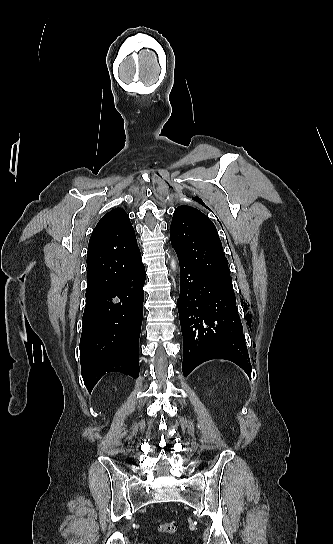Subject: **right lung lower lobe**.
<instances>
[{
  "mask_svg": "<svg viewBox=\"0 0 333 544\" xmlns=\"http://www.w3.org/2000/svg\"><path fill=\"white\" fill-rule=\"evenodd\" d=\"M145 268L141 263L111 288L86 297L80 339L81 374L89 392L108 372L139 375Z\"/></svg>",
  "mask_w": 333,
  "mask_h": 544,
  "instance_id": "98d812e1",
  "label": "right lung lower lobe"
}]
</instances>
